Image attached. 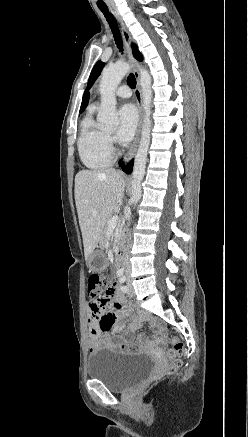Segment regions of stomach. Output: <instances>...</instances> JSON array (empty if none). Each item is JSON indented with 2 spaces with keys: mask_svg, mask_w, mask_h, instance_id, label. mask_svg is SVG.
Wrapping results in <instances>:
<instances>
[{
  "mask_svg": "<svg viewBox=\"0 0 248 437\" xmlns=\"http://www.w3.org/2000/svg\"><path fill=\"white\" fill-rule=\"evenodd\" d=\"M106 265V257L101 252L92 253L87 259V266L90 272H105Z\"/></svg>",
  "mask_w": 248,
  "mask_h": 437,
  "instance_id": "1",
  "label": "stomach"
}]
</instances>
